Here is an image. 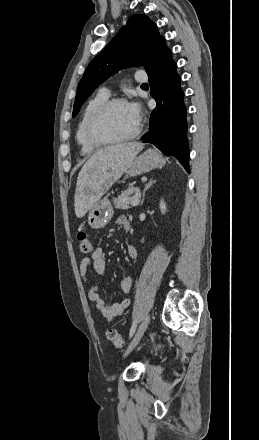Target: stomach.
<instances>
[{"mask_svg": "<svg viewBox=\"0 0 259 440\" xmlns=\"http://www.w3.org/2000/svg\"><path fill=\"white\" fill-rule=\"evenodd\" d=\"M160 163V154L153 149H148L135 157L131 166L126 170V174L136 176L147 173L157 168ZM113 214L114 210L110 200L107 198L98 200L89 211L88 224L93 229H102L111 221Z\"/></svg>", "mask_w": 259, "mask_h": 440, "instance_id": "stomach-1", "label": "stomach"}]
</instances>
